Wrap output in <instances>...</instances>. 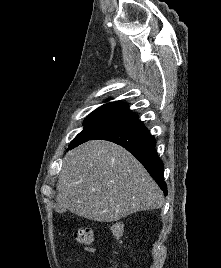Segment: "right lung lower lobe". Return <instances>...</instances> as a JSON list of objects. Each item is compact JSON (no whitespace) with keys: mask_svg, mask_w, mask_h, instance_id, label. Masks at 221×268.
I'll return each mask as SVG.
<instances>
[{"mask_svg":"<svg viewBox=\"0 0 221 268\" xmlns=\"http://www.w3.org/2000/svg\"><path fill=\"white\" fill-rule=\"evenodd\" d=\"M94 139L112 141L126 148L143 164L164 194L167 195V186L163 175L164 166L155 150L156 140L140 120L123 123L89 140Z\"/></svg>","mask_w":221,"mask_h":268,"instance_id":"1","label":"right lung lower lobe"}]
</instances>
